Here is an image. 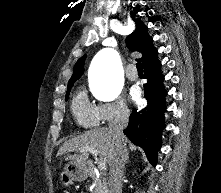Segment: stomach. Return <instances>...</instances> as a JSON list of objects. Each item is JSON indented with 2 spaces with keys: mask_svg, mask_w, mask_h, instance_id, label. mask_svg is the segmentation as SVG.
<instances>
[{
  "mask_svg": "<svg viewBox=\"0 0 221 193\" xmlns=\"http://www.w3.org/2000/svg\"><path fill=\"white\" fill-rule=\"evenodd\" d=\"M88 170L85 165L69 163L60 174V183L64 187H69L74 181H82L87 177Z\"/></svg>",
  "mask_w": 221,
  "mask_h": 193,
  "instance_id": "1",
  "label": "stomach"
}]
</instances>
